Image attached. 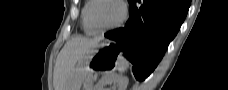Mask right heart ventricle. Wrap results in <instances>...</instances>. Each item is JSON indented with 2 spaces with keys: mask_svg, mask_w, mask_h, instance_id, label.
Returning <instances> with one entry per match:
<instances>
[{
  "mask_svg": "<svg viewBox=\"0 0 228 90\" xmlns=\"http://www.w3.org/2000/svg\"><path fill=\"white\" fill-rule=\"evenodd\" d=\"M93 0H87L84 2L81 10V23L84 32L88 35H93L96 31L91 27L89 23V10L92 5Z\"/></svg>",
  "mask_w": 228,
  "mask_h": 90,
  "instance_id": "1",
  "label": "right heart ventricle"
}]
</instances>
